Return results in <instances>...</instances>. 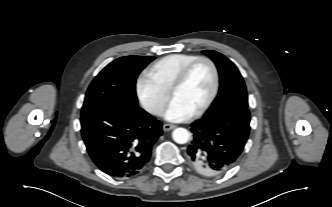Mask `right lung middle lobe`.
<instances>
[{
    "label": "right lung middle lobe",
    "instance_id": "right-lung-middle-lobe-1",
    "mask_svg": "<svg viewBox=\"0 0 332 207\" xmlns=\"http://www.w3.org/2000/svg\"><path fill=\"white\" fill-rule=\"evenodd\" d=\"M155 57L126 56L108 64L90 84L82 113L102 107H138L136 78Z\"/></svg>",
    "mask_w": 332,
    "mask_h": 207
}]
</instances>
